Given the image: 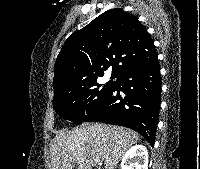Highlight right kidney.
Wrapping results in <instances>:
<instances>
[{"mask_svg":"<svg viewBox=\"0 0 200 169\" xmlns=\"http://www.w3.org/2000/svg\"><path fill=\"white\" fill-rule=\"evenodd\" d=\"M121 169H148V151L143 145L131 147L123 156Z\"/></svg>","mask_w":200,"mask_h":169,"instance_id":"ca27d5eb","label":"right kidney"}]
</instances>
